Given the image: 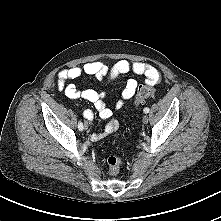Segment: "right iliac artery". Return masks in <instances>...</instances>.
<instances>
[{"mask_svg": "<svg viewBox=\"0 0 221 221\" xmlns=\"http://www.w3.org/2000/svg\"><path fill=\"white\" fill-rule=\"evenodd\" d=\"M78 129H79L80 131H82V130L84 129L82 122H79V123H78Z\"/></svg>", "mask_w": 221, "mask_h": 221, "instance_id": "82829eb1", "label": "right iliac artery"}]
</instances>
